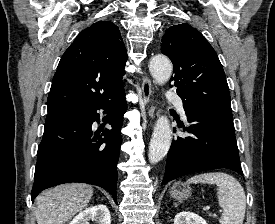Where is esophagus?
<instances>
[{
	"mask_svg": "<svg viewBox=\"0 0 275 224\" xmlns=\"http://www.w3.org/2000/svg\"><path fill=\"white\" fill-rule=\"evenodd\" d=\"M141 94L143 98V104L147 106L153 94L151 80L148 76H143L142 78Z\"/></svg>",
	"mask_w": 275,
	"mask_h": 224,
	"instance_id": "1",
	"label": "esophagus"
}]
</instances>
